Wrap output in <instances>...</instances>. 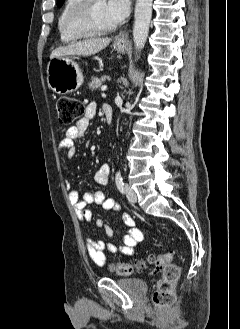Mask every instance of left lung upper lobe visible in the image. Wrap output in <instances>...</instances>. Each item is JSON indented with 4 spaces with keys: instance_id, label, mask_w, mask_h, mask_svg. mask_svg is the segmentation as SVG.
Returning <instances> with one entry per match:
<instances>
[{
    "instance_id": "left-lung-upper-lobe-1",
    "label": "left lung upper lobe",
    "mask_w": 240,
    "mask_h": 329,
    "mask_svg": "<svg viewBox=\"0 0 240 329\" xmlns=\"http://www.w3.org/2000/svg\"><path fill=\"white\" fill-rule=\"evenodd\" d=\"M64 0H57V5L60 7L63 4Z\"/></svg>"
}]
</instances>
